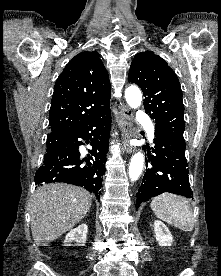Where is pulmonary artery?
I'll return each instance as SVG.
<instances>
[{
    "label": "pulmonary artery",
    "instance_id": "1",
    "mask_svg": "<svg viewBox=\"0 0 221 276\" xmlns=\"http://www.w3.org/2000/svg\"><path fill=\"white\" fill-rule=\"evenodd\" d=\"M138 119H139L140 121H146L147 116H146L143 112H139V113H138ZM146 128H147L149 137H150L151 139H153V138H154V127H153V125H152L151 123H148V124L146 125Z\"/></svg>",
    "mask_w": 221,
    "mask_h": 276
}]
</instances>
